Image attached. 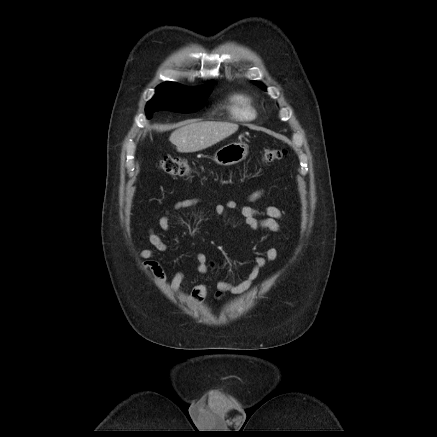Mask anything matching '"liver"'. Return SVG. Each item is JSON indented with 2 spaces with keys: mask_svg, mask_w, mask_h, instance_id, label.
Instances as JSON below:
<instances>
[{
  "mask_svg": "<svg viewBox=\"0 0 437 437\" xmlns=\"http://www.w3.org/2000/svg\"><path fill=\"white\" fill-rule=\"evenodd\" d=\"M238 128V124L231 122L188 121L173 131L169 140L176 146L178 152H197L229 137Z\"/></svg>",
  "mask_w": 437,
  "mask_h": 437,
  "instance_id": "6515ba94",
  "label": "liver"
}]
</instances>
